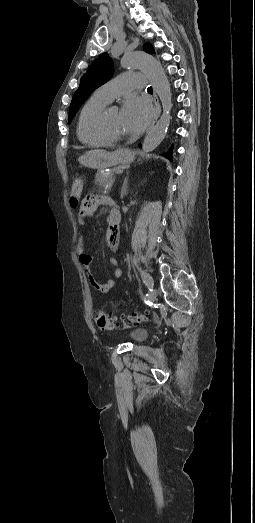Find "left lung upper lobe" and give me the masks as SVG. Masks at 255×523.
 <instances>
[{
    "mask_svg": "<svg viewBox=\"0 0 255 523\" xmlns=\"http://www.w3.org/2000/svg\"><path fill=\"white\" fill-rule=\"evenodd\" d=\"M144 50L149 54L155 53L154 48L150 43L144 44ZM113 71V62L107 53H103L95 60L81 79L80 85L72 98L69 109L68 124L72 121V118L89 95L95 89L110 80Z\"/></svg>",
    "mask_w": 255,
    "mask_h": 523,
    "instance_id": "5c2ea615",
    "label": "left lung upper lobe"
}]
</instances>
